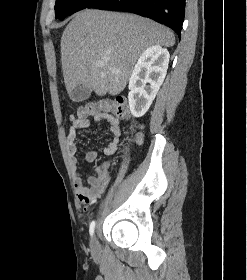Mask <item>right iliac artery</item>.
<instances>
[{
	"label": "right iliac artery",
	"mask_w": 247,
	"mask_h": 280,
	"mask_svg": "<svg viewBox=\"0 0 247 280\" xmlns=\"http://www.w3.org/2000/svg\"><path fill=\"white\" fill-rule=\"evenodd\" d=\"M95 230V221H92L89 227L90 235L93 236Z\"/></svg>",
	"instance_id": "right-iliac-artery-1"
}]
</instances>
